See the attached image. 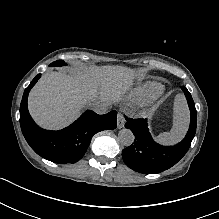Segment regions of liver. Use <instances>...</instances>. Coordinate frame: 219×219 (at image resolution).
<instances>
[{"mask_svg": "<svg viewBox=\"0 0 219 219\" xmlns=\"http://www.w3.org/2000/svg\"><path fill=\"white\" fill-rule=\"evenodd\" d=\"M138 77L137 70L120 65L49 71L31 88L28 112L40 128L62 130L73 124L94 101L121 102Z\"/></svg>", "mask_w": 219, "mask_h": 219, "instance_id": "obj_1", "label": "liver"}]
</instances>
